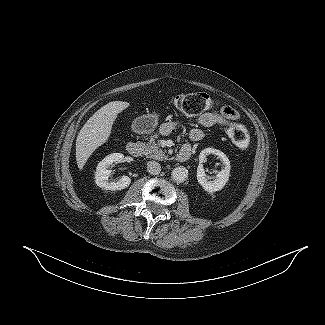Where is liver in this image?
Masks as SVG:
<instances>
[{
	"label": "liver",
	"instance_id": "6515ba94",
	"mask_svg": "<svg viewBox=\"0 0 325 325\" xmlns=\"http://www.w3.org/2000/svg\"><path fill=\"white\" fill-rule=\"evenodd\" d=\"M129 105L124 101L109 102L87 120L76 139V161L80 170L92 153L109 139L118 114Z\"/></svg>",
	"mask_w": 325,
	"mask_h": 325
}]
</instances>
